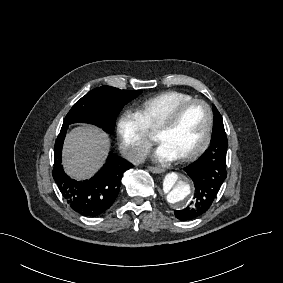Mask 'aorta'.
Returning <instances> with one entry per match:
<instances>
[{
	"label": "aorta",
	"instance_id": "aorta-1",
	"mask_svg": "<svg viewBox=\"0 0 283 283\" xmlns=\"http://www.w3.org/2000/svg\"><path fill=\"white\" fill-rule=\"evenodd\" d=\"M160 194L169 205L184 208L192 200L193 183L184 173L170 172L163 179Z\"/></svg>",
	"mask_w": 283,
	"mask_h": 283
}]
</instances>
